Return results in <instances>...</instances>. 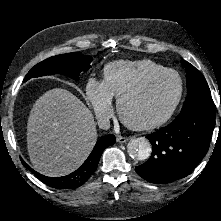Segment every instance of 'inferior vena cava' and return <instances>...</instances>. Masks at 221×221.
Listing matches in <instances>:
<instances>
[{"label":"inferior vena cava","instance_id":"obj_1","mask_svg":"<svg viewBox=\"0 0 221 221\" xmlns=\"http://www.w3.org/2000/svg\"><path fill=\"white\" fill-rule=\"evenodd\" d=\"M98 125L101 129L107 130L110 128L109 118L105 117L98 121Z\"/></svg>","mask_w":221,"mask_h":221}]
</instances>
